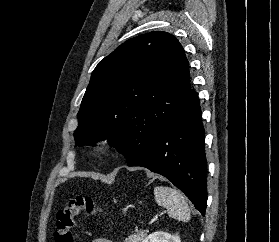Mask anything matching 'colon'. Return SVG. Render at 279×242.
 Here are the masks:
<instances>
[{
	"label": "colon",
	"mask_w": 279,
	"mask_h": 242,
	"mask_svg": "<svg viewBox=\"0 0 279 242\" xmlns=\"http://www.w3.org/2000/svg\"><path fill=\"white\" fill-rule=\"evenodd\" d=\"M101 214L102 210L89 196L78 195L66 201L64 207L57 212L53 233L54 242H74L73 229L79 215Z\"/></svg>",
	"instance_id": "colon-1"
}]
</instances>
